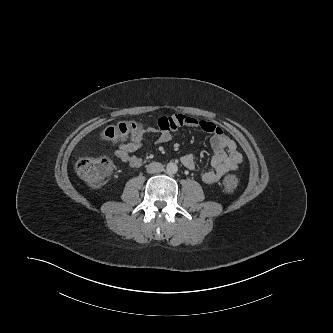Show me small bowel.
I'll use <instances>...</instances> for the list:
<instances>
[{"mask_svg":"<svg viewBox=\"0 0 333 333\" xmlns=\"http://www.w3.org/2000/svg\"><path fill=\"white\" fill-rule=\"evenodd\" d=\"M180 126L198 128L210 134V145L213 150L211 158L212 168L201 173L204 183L214 184L225 174L237 170L239 164L242 162V154L238 150L236 143L227 137L216 124L181 114L159 118L157 128L142 130L128 140L120 143L115 150V156L131 167H140L142 165V158L133 155V153L142 148L146 133L155 135L156 143L164 144L172 139L173 133ZM181 162L184 167L190 170L195 167V160L191 154L183 155Z\"/></svg>","mask_w":333,"mask_h":333,"instance_id":"c3829d8e","label":"small bowel"}]
</instances>
